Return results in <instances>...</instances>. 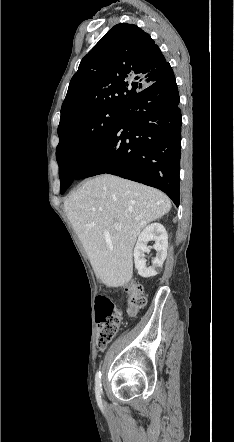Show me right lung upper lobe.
<instances>
[{"mask_svg": "<svg viewBox=\"0 0 234 442\" xmlns=\"http://www.w3.org/2000/svg\"><path fill=\"white\" fill-rule=\"evenodd\" d=\"M168 65L149 34L133 24L115 25L82 59L72 77L58 135L92 112L121 107L154 83Z\"/></svg>", "mask_w": 234, "mask_h": 442, "instance_id": "right-lung-upper-lobe-1", "label": "right lung upper lobe"}]
</instances>
